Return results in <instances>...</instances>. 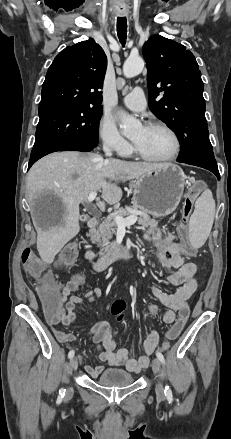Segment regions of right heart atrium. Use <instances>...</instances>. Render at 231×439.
<instances>
[{"label": "right heart atrium", "mask_w": 231, "mask_h": 439, "mask_svg": "<svg viewBox=\"0 0 231 439\" xmlns=\"http://www.w3.org/2000/svg\"><path fill=\"white\" fill-rule=\"evenodd\" d=\"M98 134L105 149L119 155H127L131 152L130 144L122 137L116 124L110 117H103L99 123Z\"/></svg>", "instance_id": "obj_1"}]
</instances>
